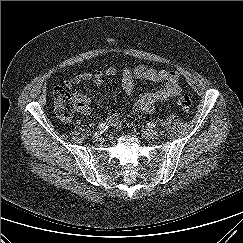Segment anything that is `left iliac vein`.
I'll return each mask as SVG.
<instances>
[{
    "label": "left iliac vein",
    "mask_w": 243,
    "mask_h": 243,
    "mask_svg": "<svg viewBox=\"0 0 243 243\" xmlns=\"http://www.w3.org/2000/svg\"><path fill=\"white\" fill-rule=\"evenodd\" d=\"M143 134H144L145 137L150 138L152 140H157L159 138V136H160L158 131L149 130V129H145L143 131Z\"/></svg>",
    "instance_id": "obj_1"
}]
</instances>
